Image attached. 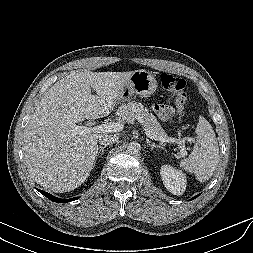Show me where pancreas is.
Instances as JSON below:
<instances>
[{"label": "pancreas", "mask_w": 253, "mask_h": 253, "mask_svg": "<svg viewBox=\"0 0 253 253\" xmlns=\"http://www.w3.org/2000/svg\"><path fill=\"white\" fill-rule=\"evenodd\" d=\"M118 121L122 124L132 123L134 120H141L145 128L151 133L168 138L167 134L157 121L156 117L149 113L148 109L141 103L130 102L119 107L117 111Z\"/></svg>", "instance_id": "cf45deb5"}]
</instances>
